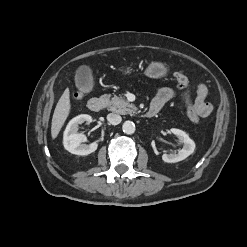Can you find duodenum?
Instances as JSON below:
<instances>
[{
    "mask_svg": "<svg viewBox=\"0 0 247 247\" xmlns=\"http://www.w3.org/2000/svg\"><path fill=\"white\" fill-rule=\"evenodd\" d=\"M106 99L104 97H93L88 102V108L93 112H100L106 106ZM156 115L154 109H148L144 112V117L152 118Z\"/></svg>",
    "mask_w": 247,
    "mask_h": 247,
    "instance_id": "duodenum-1",
    "label": "duodenum"
}]
</instances>
